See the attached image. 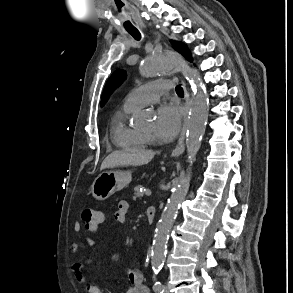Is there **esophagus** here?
<instances>
[{"label":"esophagus","instance_id":"1","mask_svg":"<svg viewBox=\"0 0 293 293\" xmlns=\"http://www.w3.org/2000/svg\"><path fill=\"white\" fill-rule=\"evenodd\" d=\"M182 85H183V88H184V93H185V98H186V104L189 106V103H190L189 95H188L187 90L185 88L184 82H182ZM185 130H186V119H185V122H184V126H183V130H182L181 136H180V138L178 140V144H177L176 148L172 151V155L173 156H178V155L182 154L183 151H184V135H185Z\"/></svg>","mask_w":293,"mask_h":293}]
</instances>
